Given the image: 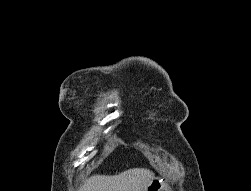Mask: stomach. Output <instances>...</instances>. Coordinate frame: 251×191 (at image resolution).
<instances>
[{"mask_svg": "<svg viewBox=\"0 0 251 191\" xmlns=\"http://www.w3.org/2000/svg\"><path fill=\"white\" fill-rule=\"evenodd\" d=\"M161 189H165V191H170L164 183H162V179L159 177H154L152 181H150L149 185L146 187V191H161Z\"/></svg>", "mask_w": 251, "mask_h": 191, "instance_id": "stomach-1", "label": "stomach"}]
</instances>
